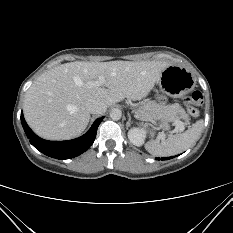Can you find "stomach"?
<instances>
[{
    "label": "stomach",
    "mask_w": 233,
    "mask_h": 233,
    "mask_svg": "<svg viewBox=\"0 0 233 233\" xmlns=\"http://www.w3.org/2000/svg\"><path fill=\"white\" fill-rule=\"evenodd\" d=\"M154 84H159L169 96L178 98L193 89L195 79L188 69L179 65H169L162 71L158 81ZM152 106L153 120L157 121L155 129H169L170 121L181 113V108L178 105L162 107L152 104Z\"/></svg>",
    "instance_id": "1"
}]
</instances>
